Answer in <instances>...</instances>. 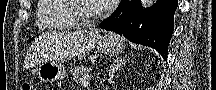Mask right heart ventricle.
Masks as SVG:
<instances>
[{
	"instance_id": "1",
	"label": "right heart ventricle",
	"mask_w": 216,
	"mask_h": 90,
	"mask_svg": "<svg viewBox=\"0 0 216 90\" xmlns=\"http://www.w3.org/2000/svg\"><path fill=\"white\" fill-rule=\"evenodd\" d=\"M41 6L36 7L35 16L37 18V26L39 29H61V28H82L76 21L71 20L66 11V2L71 0H39Z\"/></svg>"
}]
</instances>
